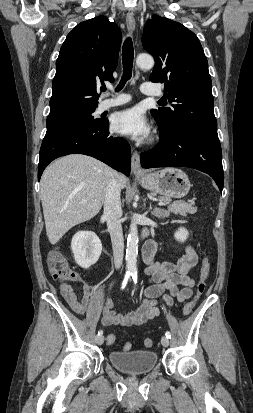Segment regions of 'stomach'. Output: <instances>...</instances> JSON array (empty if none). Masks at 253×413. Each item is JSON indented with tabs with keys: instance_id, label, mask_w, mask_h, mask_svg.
<instances>
[{
	"instance_id": "1",
	"label": "stomach",
	"mask_w": 253,
	"mask_h": 413,
	"mask_svg": "<svg viewBox=\"0 0 253 413\" xmlns=\"http://www.w3.org/2000/svg\"><path fill=\"white\" fill-rule=\"evenodd\" d=\"M142 187L166 197L182 198L190 190L188 176L178 168H164L138 177Z\"/></svg>"
}]
</instances>
